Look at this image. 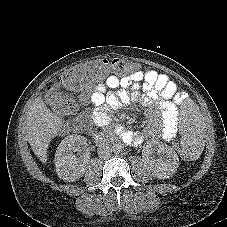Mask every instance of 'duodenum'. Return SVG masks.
Instances as JSON below:
<instances>
[{
	"label": "duodenum",
	"mask_w": 227,
	"mask_h": 227,
	"mask_svg": "<svg viewBox=\"0 0 227 227\" xmlns=\"http://www.w3.org/2000/svg\"><path fill=\"white\" fill-rule=\"evenodd\" d=\"M96 141L103 142L112 139V136L105 132H98L94 135Z\"/></svg>",
	"instance_id": "1"
}]
</instances>
